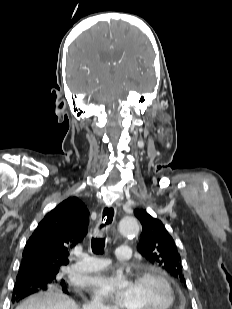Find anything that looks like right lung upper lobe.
Wrapping results in <instances>:
<instances>
[{"instance_id":"cb5924a9","label":"right lung upper lobe","mask_w":232,"mask_h":309,"mask_svg":"<svg viewBox=\"0 0 232 309\" xmlns=\"http://www.w3.org/2000/svg\"><path fill=\"white\" fill-rule=\"evenodd\" d=\"M89 211L77 197L64 200L38 224L26 242L19 271L36 274L69 263L68 250L87 234Z\"/></svg>"}]
</instances>
